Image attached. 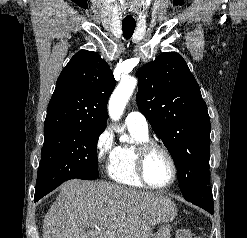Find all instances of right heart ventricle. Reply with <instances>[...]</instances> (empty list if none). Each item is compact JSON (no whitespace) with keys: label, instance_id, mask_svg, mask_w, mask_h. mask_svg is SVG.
Wrapping results in <instances>:
<instances>
[{"label":"right heart ventricle","instance_id":"e07e8e85","mask_svg":"<svg viewBox=\"0 0 247 238\" xmlns=\"http://www.w3.org/2000/svg\"><path fill=\"white\" fill-rule=\"evenodd\" d=\"M132 142L116 146L107 163V174L114 182L130 187L142 188L145 184L141 181L136 170V157L138 146L149 140L148 132L128 127Z\"/></svg>","mask_w":247,"mask_h":238}]
</instances>
